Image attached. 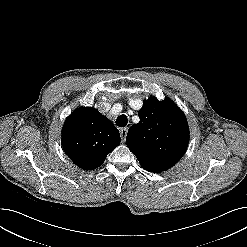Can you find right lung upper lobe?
I'll return each instance as SVG.
<instances>
[{
    "mask_svg": "<svg viewBox=\"0 0 247 247\" xmlns=\"http://www.w3.org/2000/svg\"><path fill=\"white\" fill-rule=\"evenodd\" d=\"M119 144L118 129L92 107L76 109L62 129L64 152L82 169L92 170L101 166L107 154Z\"/></svg>",
    "mask_w": 247,
    "mask_h": 247,
    "instance_id": "right-lung-upper-lobe-1",
    "label": "right lung upper lobe"
}]
</instances>
